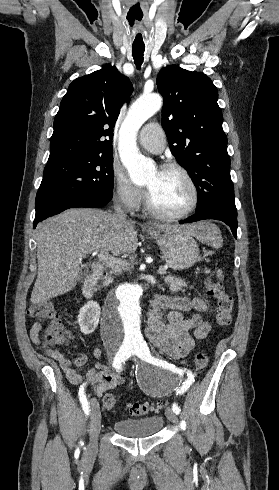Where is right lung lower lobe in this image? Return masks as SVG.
<instances>
[{
    "label": "right lung lower lobe",
    "instance_id": "98d812e1",
    "mask_svg": "<svg viewBox=\"0 0 279 490\" xmlns=\"http://www.w3.org/2000/svg\"><path fill=\"white\" fill-rule=\"evenodd\" d=\"M109 203V200L96 198L86 194L54 195L43 199L36 208V217L33 223L37 224L47 217L56 215L65 209L75 207L101 208Z\"/></svg>",
    "mask_w": 279,
    "mask_h": 490
}]
</instances>
